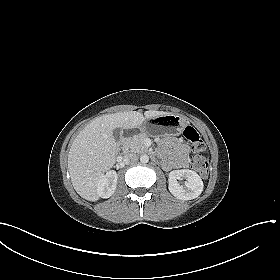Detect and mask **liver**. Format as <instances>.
<instances>
[{
	"mask_svg": "<svg viewBox=\"0 0 280 280\" xmlns=\"http://www.w3.org/2000/svg\"><path fill=\"white\" fill-rule=\"evenodd\" d=\"M170 113L149 110L144 115L137 111L106 114L90 122L74 139L68 154V171L75 191L88 201H98L97 180L113 167L117 143L116 128L133 129L146 119Z\"/></svg>",
	"mask_w": 280,
	"mask_h": 280,
	"instance_id": "liver-1",
	"label": "liver"
}]
</instances>
